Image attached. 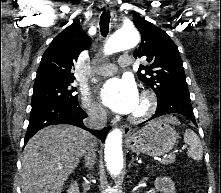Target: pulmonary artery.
Here are the masks:
<instances>
[{
	"instance_id": "obj_1",
	"label": "pulmonary artery",
	"mask_w": 221,
	"mask_h": 193,
	"mask_svg": "<svg viewBox=\"0 0 221 193\" xmlns=\"http://www.w3.org/2000/svg\"><path fill=\"white\" fill-rule=\"evenodd\" d=\"M131 63L132 62L128 56H121L118 60V65L121 67H128ZM117 69L118 67L115 64H105L98 70L97 74L101 76H110L113 75Z\"/></svg>"
}]
</instances>
